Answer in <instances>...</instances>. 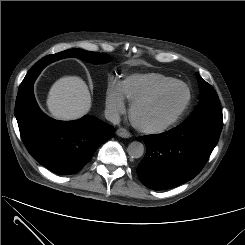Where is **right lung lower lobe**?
Masks as SVG:
<instances>
[{
    "label": "right lung lower lobe",
    "mask_w": 245,
    "mask_h": 245,
    "mask_svg": "<svg viewBox=\"0 0 245 245\" xmlns=\"http://www.w3.org/2000/svg\"><path fill=\"white\" fill-rule=\"evenodd\" d=\"M15 116L31 156L49 170L62 175L78 172L114 132L113 126L93 116L70 122L48 117L35 101L33 84L18 93Z\"/></svg>",
    "instance_id": "98d812e1"
}]
</instances>
